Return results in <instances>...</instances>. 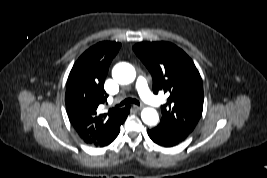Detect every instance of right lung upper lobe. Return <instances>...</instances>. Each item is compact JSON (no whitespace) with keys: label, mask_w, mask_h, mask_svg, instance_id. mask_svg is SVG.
Returning <instances> with one entry per match:
<instances>
[{"label":"right lung upper lobe","mask_w":267,"mask_h":178,"mask_svg":"<svg viewBox=\"0 0 267 178\" xmlns=\"http://www.w3.org/2000/svg\"><path fill=\"white\" fill-rule=\"evenodd\" d=\"M120 47V43L110 41L90 47L79 57L69 74L66 110L74 129L85 141L96 138L124 114L125 108H110L107 113L98 111V106L107 100L104 82Z\"/></svg>","instance_id":"cb5924a9"}]
</instances>
